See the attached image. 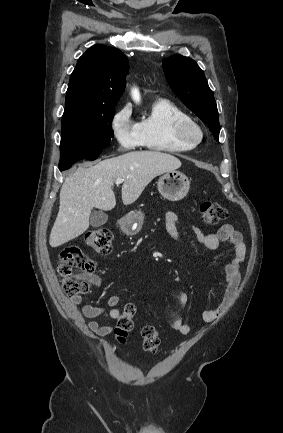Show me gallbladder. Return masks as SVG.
Here are the masks:
<instances>
[{
	"label": "gallbladder",
	"instance_id": "gallbladder-1",
	"mask_svg": "<svg viewBox=\"0 0 283 433\" xmlns=\"http://www.w3.org/2000/svg\"><path fill=\"white\" fill-rule=\"evenodd\" d=\"M108 221V214L106 212H102V210H94L90 217V225L91 227H101V225H105Z\"/></svg>",
	"mask_w": 283,
	"mask_h": 433
}]
</instances>
